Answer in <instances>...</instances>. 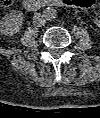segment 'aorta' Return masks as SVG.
Returning a JSON list of instances; mask_svg holds the SVG:
<instances>
[{
  "label": "aorta",
  "mask_w": 100,
  "mask_h": 118,
  "mask_svg": "<svg viewBox=\"0 0 100 118\" xmlns=\"http://www.w3.org/2000/svg\"><path fill=\"white\" fill-rule=\"evenodd\" d=\"M42 15L46 21H52L57 17V11L52 7H47L43 10Z\"/></svg>",
  "instance_id": "obj_1"
}]
</instances>
